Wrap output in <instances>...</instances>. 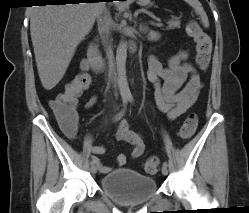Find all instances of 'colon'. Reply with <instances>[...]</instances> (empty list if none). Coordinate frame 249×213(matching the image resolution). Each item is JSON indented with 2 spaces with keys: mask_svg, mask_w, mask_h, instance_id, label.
<instances>
[{
  "mask_svg": "<svg viewBox=\"0 0 249 213\" xmlns=\"http://www.w3.org/2000/svg\"><path fill=\"white\" fill-rule=\"evenodd\" d=\"M187 34L194 39L197 47L196 62L201 70H206L210 61L211 40L209 36L203 32L200 25L192 20L186 28ZM91 78L85 71L78 72L73 80L65 85L63 92L59 93L55 99L51 100L49 105L60 123L71 126L76 122L75 109L77 99L89 88ZM197 116L189 114L180 127L179 134L186 139L193 135L197 127ZM159 161L152 156L147 158L143 163V170L148 174L157 171Z\"/></svg>",
  "mask_w": 249,
  "mask_h": 213,
  "instance_id": "obj_1",
  "label": "colon"
}]
</instances>
